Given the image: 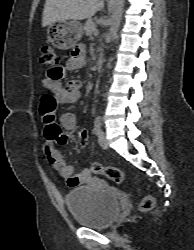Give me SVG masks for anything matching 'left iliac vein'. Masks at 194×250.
<instances>
[{"label":"left iliac vein","mask_w":194,"mask_h":250,"mask_svg":"<svg viewBox=\"0 0 194 250\" xmlns=\"http://www.w3.org/2000/svg\"><path fill=\"white\" fill-rule=\"evenodd\" d=\"M98 142L102 149H108V141L105 133L101 130L98 136Z\"/></svg>","instance_id":"4c4485c4"}]
</instances>
